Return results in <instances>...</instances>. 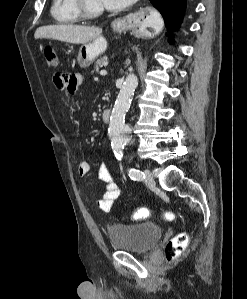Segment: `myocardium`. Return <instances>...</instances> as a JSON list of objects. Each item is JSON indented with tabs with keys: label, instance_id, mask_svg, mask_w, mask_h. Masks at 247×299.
Wrapping results in <instances>:
<instances>
[{
	"label": "myocardium",
	"instance_id": "obj_1",
	"mask_svg": "<svg viewBox=\"0 0 247 299\" xmlns=\"http://www.w3.org/2000/svg\"><path fill=\"white\" fill-rule=\"evenodd\" d=\"M76 8L81 18L92 19L101 16L104 12L103 8H92L88 0H74Z\"/></svg>",
	"mask_w": 247,
	"mask_h": 299
}]
</instances>
